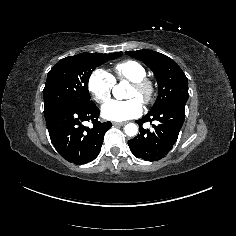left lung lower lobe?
Instances as JSON below:
<instances>
[{"label": "left lung lower lobe", "instance_id": "obj_1", "mask_svg": "<svg viewBox=\"0 0 236 236\" xmlns=\"http://www.w3.org/2000/svg\"><path fill=\"white\" fill-rule=\"evenodd\" d=\"M185 104V100L172 101L136 121L140 133L128 141L134 156L145 161H157L171 150L184 122ZM145 122H153V130L144 129L142 125Z\"/></svg>", "mask_w": 236, "mask_h": 236}]
</instances>
